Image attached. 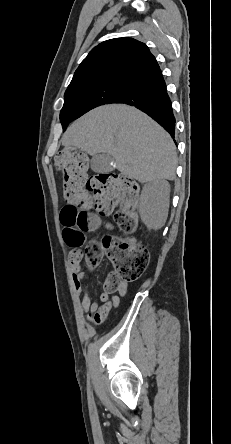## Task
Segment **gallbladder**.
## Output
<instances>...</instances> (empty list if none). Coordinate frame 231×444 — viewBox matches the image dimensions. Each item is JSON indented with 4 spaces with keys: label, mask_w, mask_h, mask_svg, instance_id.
Segmentation results:
<instances>
[{
    "label": "gallbladder",
    "mask_w": 231,
    "mask_h": 444,
    "mask_svg": "<svg viewBox=\"0 0 231 444\" xmlns=\"http://www.w3.org/2000/svg\"><path fill=\"white\" fill-rule=\"evenodd\" d=\"M111 157L104 153H98L91 159V169L97 173L110 171Z\"/></svg>",
    "instance_id": "obj_1"
}]
</instances>
